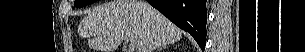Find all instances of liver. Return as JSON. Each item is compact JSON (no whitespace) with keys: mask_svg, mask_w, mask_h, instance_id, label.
<instances>
[{"mask_svg":"<svg viewBox=\"0 0 305 52\" xmlns=\"http://www.w3.org/2000/svg\"><path fill=\"white\" fill-rule=\"evenodd\" d=\"M78 34L91 49L114 52L122 40L133 41L138 52H153L182 38V31L146 2L113 0L89 11Z\"/></svg>","mask_w":305,"mask_h":52,"instance_id":"obj_1","label":"liver"}]
</instances>
